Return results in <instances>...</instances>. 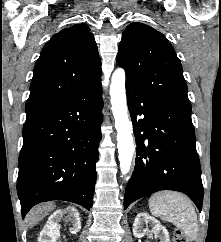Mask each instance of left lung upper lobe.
<instances>
[{
  "instance_id": "left-lung-upper-lobe-1",
  "label": "left lung upper lobe",
  "mask_w": 221,
  "mask_h": 242,
  "mask_svg": "<svg viewBox=\"0 0 221 242\" xmlns=\"http://www.w3.org/2000/svg\"><path fill=\"white\" fill-rule=\"evenodd\" d=\"M117 63L125 68L126 80L147 95L191 112L181 62L160 32L142 23L128 25L122 34Z\"/></svg>"
}]
</instances>
